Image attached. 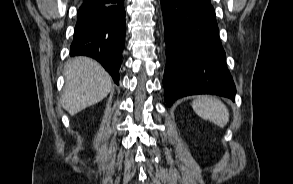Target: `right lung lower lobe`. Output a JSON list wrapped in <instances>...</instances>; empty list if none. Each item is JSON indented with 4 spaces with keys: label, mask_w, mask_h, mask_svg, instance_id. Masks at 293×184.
I'll return each mask as SVG.
<instances>
[{
    "label": "right lung lower lobe",
    "mask_w": 293,
    "mask_h": 184,
    "mask_svg": "<svg viewBox=\"0 0 293 184\" xmlns=\"http://www.w3.org/2000/svg\"><path fill=\"white\" fill-rule=\"evenodd\" d=\"M124 0L108 5L83 3L77 12V23L70 55H85L99 61L116 84L125 44Z\"/></svg>",
    "instance_id": "98d812e1"
}]
</instances>
